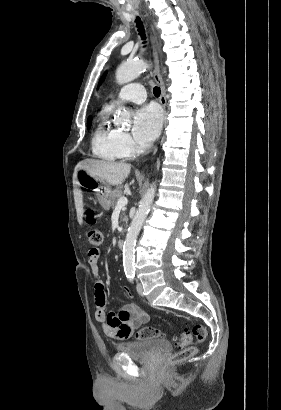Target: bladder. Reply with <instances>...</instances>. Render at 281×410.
Listing matches in <instances>:
<instances>
[{
	"label": "bladder",
	"instance_id": "obj_1",
	"mask_svg": "<svg viewBox=\"0 0 281 410\" xmlns=\"http://www.w3.org/2000/svg\"><path fill=\"white\" fill-rule=\"evenodd\" d=\"M115 348L120 354L133 358L148 359L157 354L169 352L171 345L168 341L162 339H145L118 343Z\"/></svg>",
	"mask_w": 281,
	"mask_h": 410
}]
</instances>
